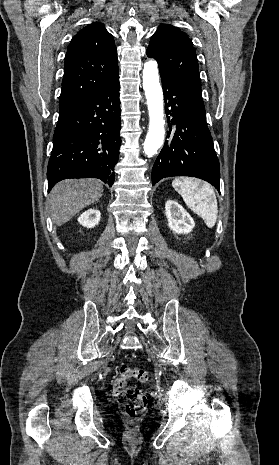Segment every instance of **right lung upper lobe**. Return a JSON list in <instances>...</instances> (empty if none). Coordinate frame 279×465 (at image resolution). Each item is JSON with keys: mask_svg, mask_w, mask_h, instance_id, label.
<instances>
[{"mask_svg": "<svg viewBox=\"0 0 279 465\" xmlns=\"http://www.w3.org/2000/svg\"><path fill=\"white\" fill-rule=\"evenodd\" d=\"M118 74L112 35L101 23L84 27L72 39L65 56L59 117L88 101Z\"/></svg>", "mask_w": 279, "mask_h": 465, "instance_id": "obj_1", "label": "right lung upper lobe"}]
</instances>
